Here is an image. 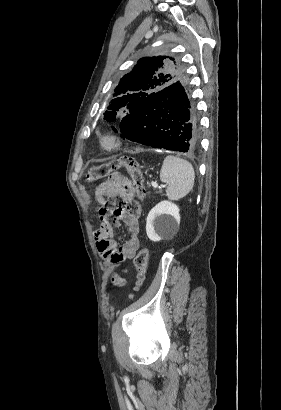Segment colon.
Returning <instances> with one entry per match:
<instances>
[{"instance_id": "obj_1", "label": "colon", "mask_w": 281, "mask_h": 410, "mask_svg": "<svg viewBox=\"0 0 281 410\" xmlns=\"http://www.w3.org/2000/svg\"><path fill=\"white\" fill-rule=\"evenodd\" d=\"M122 168L126 169L127 172L130 174L132 184L138 198L143 199L146 195L143 175L139 170L136 162L132 158L121 157L112 160L108 163L93 166L88 170L86 179L89 182L102 180L109 177L115 171ZM108 205L109 207L113 208L117 213H122L123 211L127 210L131 214H138L140 210L138 202L132 200V198L126 195L121 194L111 196L108 200ZM148 256V250L143 248L138 252L137 256L135 257L134 263L137 269V281L135 291H138L140 289L145 280L146 269L148 266Z\"/></svg>"}]
</instances>
